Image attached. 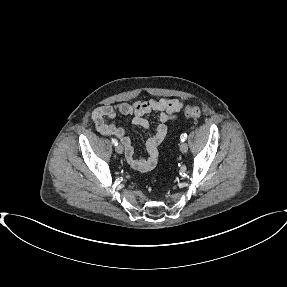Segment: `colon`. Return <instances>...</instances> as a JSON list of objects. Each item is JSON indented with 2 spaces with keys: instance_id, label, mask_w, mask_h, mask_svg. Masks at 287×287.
I'll use <instances>...</instances> for the list:
<instances>
[{
  "instance_id": "1",
  "label": "colon",
  "mask_w": 287,
  "mask_h": 287,
  "mask_svg": "<svg viewBox=\"0 0 287 287\" xmlns=\"http://www.w3.org/2000/svg\"><path fill=\"white\" fill-rule=\"evenodd\" d=\"M184 113L187 118L192 120H197L201 116L200 107L196 104L186 106Z\"/></svg>"
}]
</instances>
